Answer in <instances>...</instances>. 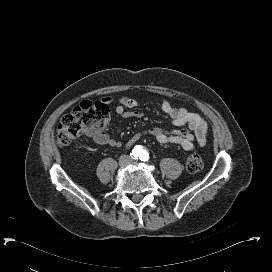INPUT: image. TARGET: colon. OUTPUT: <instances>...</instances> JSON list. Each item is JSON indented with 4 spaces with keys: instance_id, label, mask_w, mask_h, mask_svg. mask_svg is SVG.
I'll return each mask as SVG.
<instances>
[{
    "instance_id": "colon-1",
    "label": "colon",
    "mask_w": 272,
    "mask_h": 272,
    "mask_svg": "<svg viewBox=\"0 0 272 272\" xmlns=\"http://www.w3.org/2000/svg\"><path fill=\"white\" fill-rule=\"evenodd\" d=\"M110 122V109L107 99L85 101L64 115L57 127L56 142L66 146L89 132H100ZM186 168L191 173H198L203 162L197 151L191 152L186 161Z\"/></svg>"
}]
</instances>
